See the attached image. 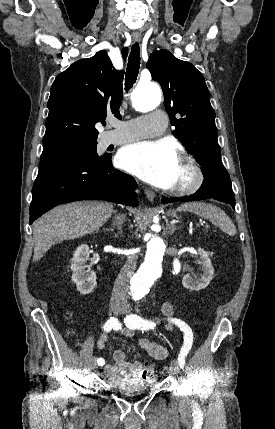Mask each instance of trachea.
Instances as JSON below:
<instances>
[{"label":"trachea","mask_w":275,"mask_h":429,"mask_svg":"<svg viewBox=\"0 0 275 429\" xmlns=\"http://www.w3.org/2000/svg\"><path fill=\"white\" fill-rule=\"evenodd\" d=\"M140 48L137 43L132 46L126 68L125 90L128 91L136 82L140 68Z\"/></svg>","instance_id":"obj_1"}]
</instances>
